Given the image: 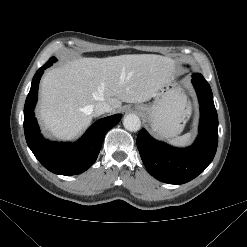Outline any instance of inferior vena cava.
I'll return each instance as SVG.
<instances>
[{
	"instance_id": "inferior-vena-cava-1",
	"label": "inferior vena cava",
	"mask_w": 247,
	"mask_h": 247,
	"mask_svg": "<svg viewBox=\"0 0 247 247\" xmlns=\"http://www.w3.org/2000/svg\"><path fill=\"white\" fill-rule=\"evenodd\" d=\"M113 107L106 102H97L93 106L90 107V111L92 116H99L104 113L111 112Z\"/></svg>"
}]
</instances>
